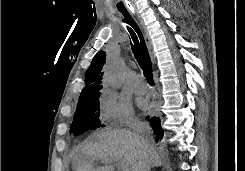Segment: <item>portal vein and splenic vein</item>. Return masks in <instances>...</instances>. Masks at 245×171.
<instances>
[{"mask_svg": "<svg viewBox=\"0 0 245 171\" xmlns=\"http://www.w3.org/2000/svg\"><path fill=\"white\" fill-rule=\"evenodd\" d=\"M106 162H110V163H112V162H116V164L118 165V166H120V168L122 169V171H130V169H129V167H128V165L126 164V162L125 161H123V160H116V161H107V160H105Z\"/></svg>", "mask_w": 245, "mask_h": 171, "instance_id": "18ae733b", "label": "portal vein and splenic vein"}]
</instances>
